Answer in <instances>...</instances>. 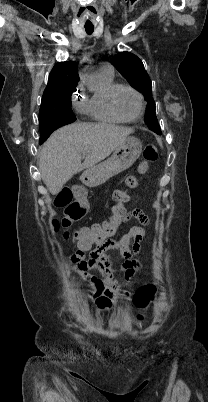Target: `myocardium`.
Here are the masks:
<instances>
[{
  "mask_svg": "<svg viewBox=\"0 0 208 402\" xmlns=\"http://www.w3.org/2000/svg\"><path fill=\"white\" fill-rule=\"evenodd\" d=\"M122 89H127L132 91L134 94L137 95V97L139 98L140 101V110L137 116L133 117V118H126L124 116H122L115 105V99H116V95L117 93L122 90ZM108 103H109V108L112 112V114L121 122H135L137 120H139L143 114H144V110H145V100H144V96L135 88H133L132 86L129 85H116L110 92L109 97H108Z\"/></svg>",
  "mask_w": 208,
  "mask_h": 402,
  "instance_id": "obj_1",
  "label": "myocardium"
}]
</instances>
